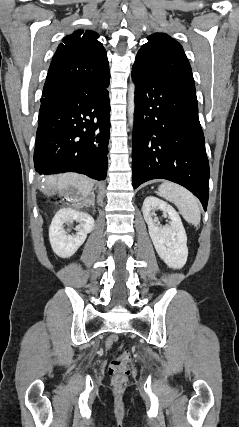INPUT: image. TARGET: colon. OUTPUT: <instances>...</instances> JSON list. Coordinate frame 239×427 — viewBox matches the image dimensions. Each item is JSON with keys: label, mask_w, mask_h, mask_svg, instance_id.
Here are the masks:
<instances>
[{"label": "colon", "mask_w": 239, "mask_h": 427, "mask_svg": "<svg viewBox=\"0 0 239 427\" xmlns=\"http://www.w3.org/2000/svg\"><path fill=\"white\" fill-rule=\"evenodd\" d=\"M130 359V353L126 351L110 363L109 374L112 377L113 385L118 389L122 388L127 382L130 374Z\"/></svg>", "instance_id": "obj_1"}]
</instances>
